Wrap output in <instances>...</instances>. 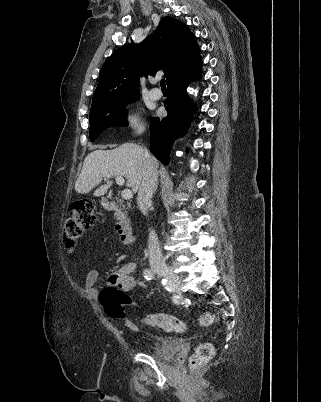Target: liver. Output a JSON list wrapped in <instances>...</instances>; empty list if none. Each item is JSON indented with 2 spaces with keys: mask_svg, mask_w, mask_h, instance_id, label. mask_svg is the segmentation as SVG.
Segmentation results:
<instances>
[{
  "mask_svg": "<svg viewBox=\"0 0 321 402\" xmlns=\"http://www.w3.org/2000/svg\"><path fill=\"white\" fill-rule=\"evenodd\" d=\"M145 149L135 143H124L111 150L96 149L90 152L83 163L82 171L75 183V190L80 194L89 193L102 180L113 176H124L127 186L136 193L139 189L144 172ZM155 168L159 166L158 160L152 157ZM111 182L100 186L95 196H102L110 187Z\"/></svg>",
  "mask_w": 321,
  "mask_h": 402,
  "instance_id": "1",
  "label": "liver"
}]
</instances>
